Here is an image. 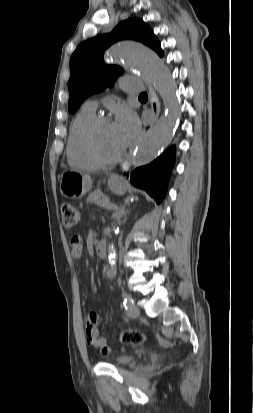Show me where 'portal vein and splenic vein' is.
<instances>
[{
    "mask_svg": "<svg viewBox=\"0 0 253 413\" xmlns=\"http://www.w3.org/2000/svg\"><path fill=\"white\" fill-rule=\"evenodd\" d=\"M102 206L106 209L116 208V206L114 204L110 203L109 201H106L105 203H102Z\"/></svg>",
    "mask_w": 253,
    "mask_h": 413,
    "instance_id": "obj_1",
    "label": "portal vein and splenic vein"
}]
</instances>
